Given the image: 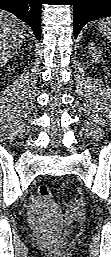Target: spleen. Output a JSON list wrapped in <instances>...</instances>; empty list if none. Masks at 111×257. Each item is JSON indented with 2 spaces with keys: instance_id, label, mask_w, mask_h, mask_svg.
<instances>
[{
  "instance_id": "1",
  "label": "spleen",
  "mask_w": 111,
  "mask_h": 257,
  "mask_svg": "<svg viewBox=\"0 0 111 257\" xmlns=\"http://www.w3.org/2000/svg\"><path fill=\"white\" fill-rule=\"evenodd\" d=\"M99 30L106 36L111 43V18L99 21Z\"/></svg>"
}]
</instances>
